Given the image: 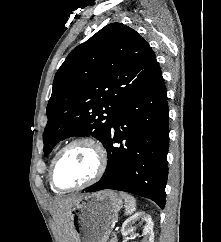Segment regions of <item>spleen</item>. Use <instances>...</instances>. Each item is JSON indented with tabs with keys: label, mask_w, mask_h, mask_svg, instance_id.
<instances>
[{
	"label": "spleen",
	"mask_w": 221,
	"mask_h": 242,
	"mask_svg": "<svg viewBox=\"0 0 221 242\" xmlns=\"http://www.w3.org/2000/svg\"><path fill=\"white\" fill-rule=\"evenodd\" d=\"M122 198L125 201V214L130 215L136 210V200L133 196L127 193H121Z\"/></svg>",
	"instance_id": "3e777b00"
}]
</instances>
